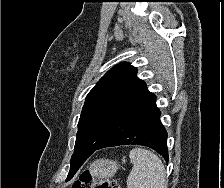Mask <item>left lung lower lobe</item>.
<instances>
[{
    "instance_id": "left-lung-lower-lobe-1",
    "label": "left lung lower lobe",
    "mask_w": 224,
    "mask_h": 188,
    "mask_svg": "<svg viewBox=\"0 0 224 188\" xmlns=\"http://www.w3.org/2000/svg\"><path fill=\"white\" fill-rule=\"evenodd\" d=\"M129 144L148 146L156 150L168 161L167 132L160 121V111L156 106V96L149 91L137 99L124 112L115 127L94 151L106 147ZM93 152L87 155L86 158ZM84 161L85 159L79 163L71 162L69 174H74ZM73 167L74 170L72 171Z\"/></svg>"
}]
</instances>
